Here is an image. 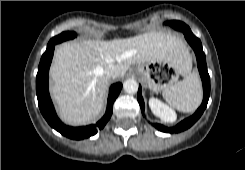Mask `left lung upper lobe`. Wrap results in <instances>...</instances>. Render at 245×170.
I'll use <instances>...</instances> for the list:
<instances>
[{
	"label": "left lung upper lobe",
	"mask_w": 245,
	"mask_h": 170,
	"mask_svg": "<svg viewBox=\"0 0 245 170\" xmlns=\"http://www.w3.org/2000/svg\"><path fill=\"white\" fill-rule=\"evenodd\" d=\"M183 22H180V21H168V22H166V24L167 25H170V26H172L173 28H175V29H178V30H181L180 29V27H179V25H181Z\"/></svg>",
	"instance_id": "1"
}]
</instances>
